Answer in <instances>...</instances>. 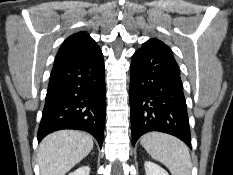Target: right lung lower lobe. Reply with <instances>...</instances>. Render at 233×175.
<instances>
[{
    "label": "right lung lower lobe",
    "instance_id": "98d812e1",
    "mask_svg": "<svg viewBox=\"0 0 233 175\" xmlns=\"http://www.w3.org/2000/svg\"><path fill=\"white\" fill-rule=\"evenodd\" d=\"M106 112L105 67L101 50L52 69L38 142L61 129L84 130L102 147Z\"/></svg>",
    "mask_w": 233,
    "mask_h": 175
}]
</instances>
